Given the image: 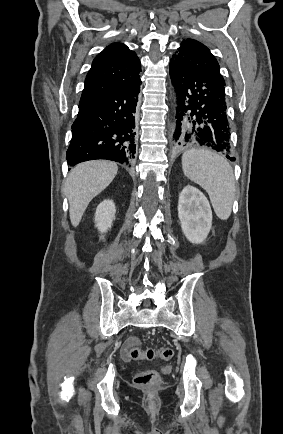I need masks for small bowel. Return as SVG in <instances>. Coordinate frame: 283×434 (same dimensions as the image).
<instances>
[{
    "instance_id": "c3829d8e",
    "label": "small bowel",
    "mask_w": 283,
    "mask_h": 434,
    "mask_svg": "<svg viewBox=\"0 0 283 434\" xmlns=\"http://www.w3.org/2000/svg\"><path fill=\"white\" fill-rule=\"evenodd\" d=\"M135 343H137V339L136 338H132V339H130L129 341L126 342V344L124 345L123 350H122L123 356L125 358L129 359V354H128L129 347L132 344H135Z\"/></svg>"
}]
</instances>
